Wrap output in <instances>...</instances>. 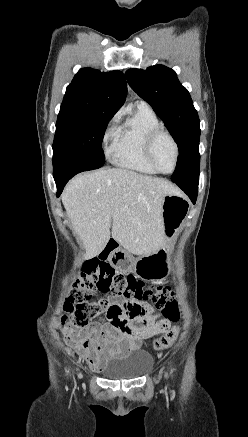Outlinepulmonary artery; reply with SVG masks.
I'll return each mask as SVG.
<instances>
[{
    "label": "pulmonary artery",
    "instance_id": "obj_1",
    "mask_svg": "<svg viewBox=\"0 0 248 437\" xmlns=\"http://www.w3.org/2000/svg\"><path fill=\"white\" fill-rule=\"evenodd\" d=\"M138 106H146V107H149L145 102H143V101H141V102H139L138 103Z\"/></svg>",
    "mask_w": 248,
    "mask_h": 437
}]
</instances>
